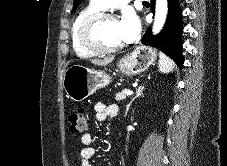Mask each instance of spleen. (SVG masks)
<instances>
[{"label": "spleen", "mask_w": 227, "mask_h": 166, "mask_svg": "<svg viewBox=\"0 0 227 166\" xmlns=\"http://www.w3.org/2000/svg\"><path fill=\"white\" fill-rule=\"evenodd\" d=\"M158 64V68L161 73H169L174 68L173 61L162 52L159 53Z\"/></svg>", "instance_id": "spleen-1"}]
</instances>
